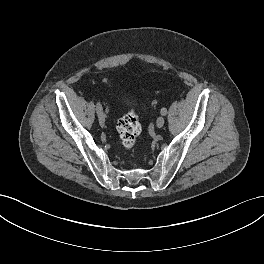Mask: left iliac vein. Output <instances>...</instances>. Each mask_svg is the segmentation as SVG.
<instances>
[{
    "label": "left iliac vein",
    "mask_w": 264,
    "mask_h": 264,
    "mask_svg": "<svg viewBox=\"0 0 264 264\" xmlns=\"http://www.w3.org/2000/svg\"><path fill=\"white\" fill-rule=\"evenodd\" d=\"M165 119L163 116L158 117L157 121H156V126L158 128H161L164 125Z\"/></svg>",
    "instance_id": "1"
}]
</instances>
